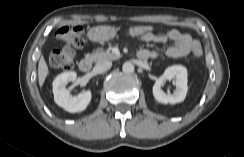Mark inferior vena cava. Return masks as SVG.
Returning a JSON list of instances; mask_svg holds the SVG:
<instances>
[{
    "mask_svg": "<svg viewBox=\"0 0 244 157\" xmlns=\"http://www.w3.org/2000/svg\"><path fill=\"white\" fill-rule=\"evenodd\" d=\"M112 66V62L110 60H104L99 63H97L94 67V71L96 73H103L107 70H109Z\"/></svg>",
    "mask_w": 244,
    "mask_h": 157,
    "instance_id": "1",
    "label": "inferior vena cava"
}]
</instances>
